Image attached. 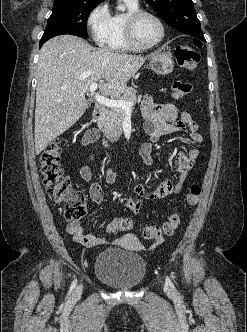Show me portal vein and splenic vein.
<instances>
[{"instance_id": "portal-vein-and-splenic-vein-1", "label": "portal vein and splenic vein", "mask_w": 247, "mask_h": 332, "mask_svg": "<svg viewBox=\"0 0 247 332\" xmlns=\"http://www.w3.org/2000/svg\"><path fill=\"white\" fill-rule=\"evenodd\" d=\"M98 87L97 83H93L90 85L89 90L92 95H94L95 100L107 107L110 108H121L123 110H131L133 107V103L125 100H115V99H109L103 95H100L98 93H95L96 89Z\"/></svg>"}]
</instances>
